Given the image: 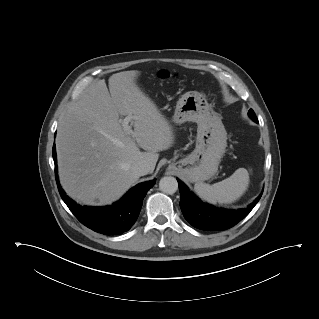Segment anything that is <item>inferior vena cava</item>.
Returning <instances> with one entry per match:
<instances>
[{"mask_svg":"<svg viewBox=\"0 0 319 319\" xmlns=\"http://www.w3.org/2000/svg\"><path fill=\"white\" fill-rule=\"evenodd\" d=\"M132 171L137 176H144L150 172V166L145 161H140L132 166Z\"/></svg>","mask_w":319,"mask_h":319,"instance_id":"602c4592","label":"inferior vena cava"}]
</instances>
